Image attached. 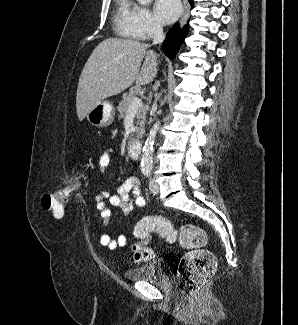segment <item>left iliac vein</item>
<instances>
[{
  "mask_svg": "<svg viewBox=\"0 0 298 325\" xmlns=\"http://www.w3.org/2000/svg\"><path fill=\"white\" fill-rule=\"evenodd\" d=\"M150 191L153 195H156L159 191V188H158V185H157L155 179H152L150 181Z\"/></svg>",
  "mask_w": 298,
  "mask_h": 325,
  "instance_id": "1",
  "label": "left iliac vein"
}]
</instances>
